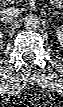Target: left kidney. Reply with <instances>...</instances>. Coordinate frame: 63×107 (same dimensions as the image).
Segmentation results:
<instances>
[{"label":"left kidney","instance_id":"5707ae66","mask_svg":"<svg viewBox=\"0 0 63 107\" xmlns=\"http://www.w3.org/2000/svg\"><path fill=\"white\" fill-rule=\"evenodd\" d=\"M56 36L61 45H63V27L60 26L56 30Z\"/></svg>","mask_w":63,"mask_h":107}]
</instances>
